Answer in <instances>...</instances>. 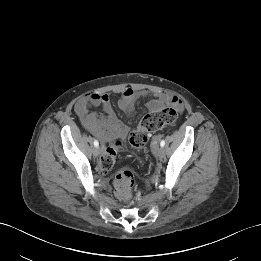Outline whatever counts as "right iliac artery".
Returning <instances> with one entry per match:
<instances>
[{"instance_id": "82829eb1", "label": "right iliac artery", "mask_w": 261, "mask_h": 261, "mask_svg": "<svg viewBox=\"0 0 261 261\" xmlns=\"http://www.w3.org/2000/svg\"><path fill=\"white\" fill-rule=\"evenodd\" d=\"M94 146H95V147H98V146H99V143H98L97 140H94Z\"/></svg>"}]
</instances>
